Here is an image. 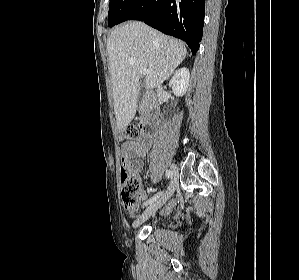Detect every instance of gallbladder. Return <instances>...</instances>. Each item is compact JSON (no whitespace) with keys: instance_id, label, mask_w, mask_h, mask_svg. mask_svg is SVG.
<instances>
[{"instance_id":"1","label":"gallbladder","mask_w":299,"mask_h":280,"mask_svg":"<svg viewBox=\"0 0 299 280\" xmlns=\"http://www.w3.org/2000/svg\"><path fill=\"white\" fill-rule=\"evenodd\" d=\"M143 96H144V92H143V91H141V93L139 94V101H141V100H142Z\"/></svg>"}]
</instances>
